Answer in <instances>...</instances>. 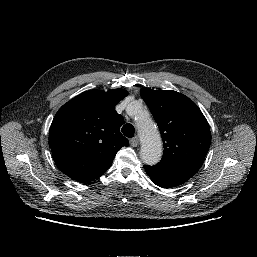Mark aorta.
<instances>
[{
    "mask_svg": "<svg viewBox=\"0 0 257 257\" xmlns=\"http://www.w3.org/2000/svg\"><path fill=\"white\" fill-rule=\"evenodd\" d=\"M142 106L139 102H133L128 106L130 113L139 114ZM141 140L140 157L147 165L157 164L162 156L161 137L155 124L149 120H139L137 123Z\"/></svg>",
    "mask_w": 257,
    "mask_h": 257,
    "instance_id": "1",
    "label": "aorta"
}]
</instances>
